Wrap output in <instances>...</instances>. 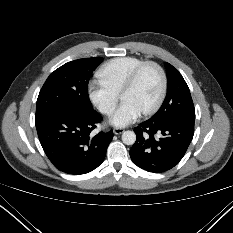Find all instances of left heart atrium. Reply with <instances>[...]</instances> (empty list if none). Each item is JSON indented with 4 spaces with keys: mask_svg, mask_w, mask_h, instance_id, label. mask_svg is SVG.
<instances>
[{
    "mask_svg": "<svg viewBox=\"0 0 233 233\" xmlns=\"http://www.w3.org/2000/svg\"><path fill=\"white\" fill-rule=\"evenodd\" d=\"M142 114L139 107L130 101H123L115 114L111 117L110 122L114 126L124 127L137 120Z\"/></svg>",
    "mask_w": 233,
    "mask_h": 233,
    "instance_id": "39dd6f15",
    "label": "left heart atrium"
}]
</instances>
